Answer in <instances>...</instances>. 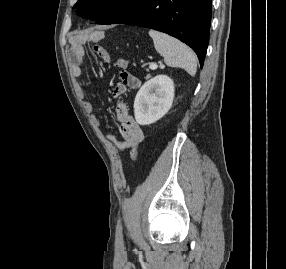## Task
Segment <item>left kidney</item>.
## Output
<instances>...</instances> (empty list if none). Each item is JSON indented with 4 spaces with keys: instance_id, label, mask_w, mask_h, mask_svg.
I'll return each mask as SVG.
<instances>
[{
    "instance_id": "left-kidney-1",
    "label": "left kidney",
    "mask_w": 286,
    "mask_h": 269,
    "mask_svg": "<svg viewBox=\"0 0 286 269\" xmlns=\"http://www.w3.org/2000/svg\"><path fill=\"white\" fill-rule=\"evenodd\" d=\"M174 83L166 75L148 80L138 91L134 101V116L140 125H149L161 119L171 108Z\"/></svg>"
}]
</instances>
